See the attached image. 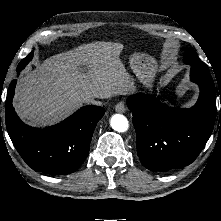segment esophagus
Listing matches in <instances>:
<instances>
[{"label":"esophagus","instance_id":"obj_1","mask_svg":"<svg viewBox=\"0 0 221 221\" xmlns=\"http://www.w3.org/2000/svg\"><path fill=\"white\" fill-rule=\"evenodd\" d=\"M115 111L118 113H124L126 111V105L124 102H119L115 105Z\"/></svg>","mask_w":221,"mask_h":221}]
</instances>
